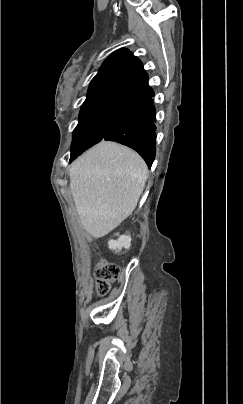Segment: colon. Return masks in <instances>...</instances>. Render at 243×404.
<instances>
[{
    "mask_svg": "<svg viewBox=\"0 0 243 404\" xmlns=\"http://www.w3.org/2000/svg\"><path fill=\"white\" fill-rule=\"evenodd\" d=\"M120 275V267L111 262L101 261L95 269L96 291L98 295H106L111 283Z\"/></svg>",
    "mask_w": 243,
    "mask_h": 404,
    "instance_id": "colon-1",
    "label": "colon"
}]
</instances>
